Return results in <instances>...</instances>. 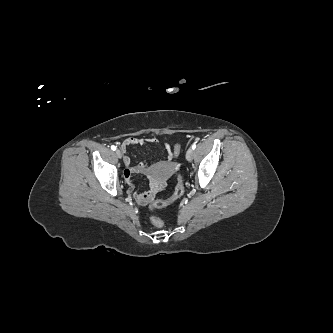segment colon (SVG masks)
<instances>
[{"mask_svg": "<svg viewBox=\"0 0 333 333\" xmlns=\"http://www.w3.org/2000/svg\"><path fill=\"white\" fill-rule=\"evenodd\" d=\"M180 152H181V146H180V144H177L174 147L173 156L174 157L179 156ZM183 193H184L183 178L180 175H178L177 184L174 188V191H173L172 195L167 199H157V200H155L151 204L150 209L152 211H154L155 209H160V208H164L166 206H169V205L173 204L174 202H176L183 195ZM151 222L157 228H161L163 226V220L155 214H153L151 216Z\"/></svg>", "mask_w": 333, "mask_h": 333, "instance_id": "5ec220e1", "label": "colon"}]
</instances>
